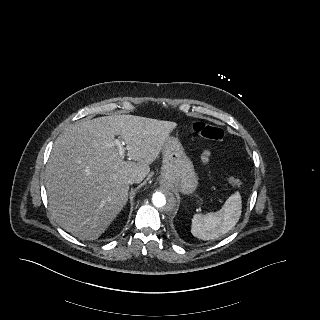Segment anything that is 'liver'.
Here are the masks:
<instances>
[{
  "label": "liver",
  "mask_w": 320,
  "mask_h": 320,
  "mask_svg": "<svg viewBox=\"0 0 320 320\" xmlns=\"http://www.w3.org/2000/svg\"><path fill=\"white\" fill-rule=\"evenodd\" d=\"M177 124L134 115L80 120L57 138L45 172L56 222L79 239L95 240L128 201V177L141 182ZM118 136L130 161L120 158ZM132 160V161H131Z\"/></svg>",
  "instance_id": "liver-1"
}]
</instances>
